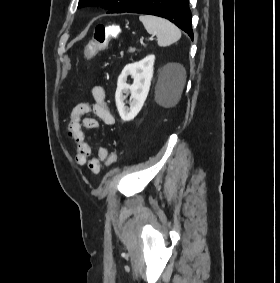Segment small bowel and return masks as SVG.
Here are the masks:
<instances>
[{
  "instance_id": "small-bowel-1",
  "label": "small bowel",
  "mask_w": 280,
  "mask_h": 283,
  "mask_svg": "<svg viewBox=\"0 0 280 283\" xmlns=\"http://www.w3.org/2000/svg\"><path fill=\"white\" fill-rule=\"evenodd\" d=\"M94 103L82 102L71 111L66 125L67 135L74 141L76 147L75 161L78 165H87L89 170L97 174L101 169V162L108 161L110 152L105 147H100L96 157L91 156V146L85 139L84 128L97 130L99 121L105 125H113L115 120L105 102V91L101 86L92 89ZM92 113L97 119L85 117Z\"/></svg>"
}]
</instances>
